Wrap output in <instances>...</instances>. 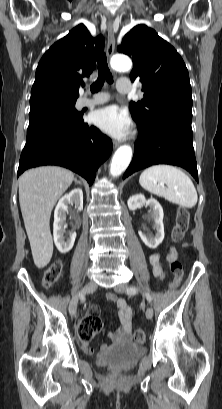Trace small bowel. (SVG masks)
<instances>
[{
    "label": "small bowel",
    "mask_w": 222,
    "mask_h": 409,
    "mask_svg": "<svg viewBox=\"0 0 222 409\" xmlns=\"http://www.w3.org/2000/svg\"><path fill=\"white\" fill-rule=\"evenodd\" d=\"M184 246H188L184 244ZM176 251L173 247L169 248V251L166 256V260L170 261L172 259H176ZM149 262L152 266L153 274L159 279H164L166 276L163 261L161 255L159 253H153L149 257ZM107 299L115 304L118 312V317L120 320V326L114 331L108 333V338L115 344L123 343V342H130L132 340V332H133V319H134V312L128 306L125 300L116 297L113 294H109ZM92 313H89L85 318L97 319L101 322V318L99 316L98 309L96 307L91 308ZM81 345L84 351L87 354H94L95 350L91 346H89V342L85 340H81ZM109 346L104 344L101 346V350L105 351L108 349Z\"/></svg>",
    "instance_id": "c3829d8e"
}]
</instances>
